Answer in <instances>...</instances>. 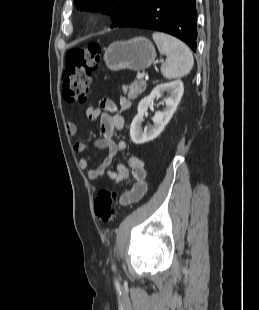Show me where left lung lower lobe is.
<instances>
[{
  "instance_id": "obj_1",
  "label": "left lung lower lobe",
  "mask_w": 259,
  "mask_h": 310,
  "mask_svg": "<svg viewBox=\"0 0 259 310\" xmlns=\"http://www.w3.org/2000/svg\"><path fill=\"white\" fill-rule=\"evenodd\" d=\"M113 28V26H111ZM114 27H137L171 34L197 48L195 0H152Z\"/></svg>"
}]
</instances>
